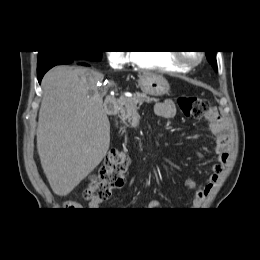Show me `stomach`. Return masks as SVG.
Masks as SVG:
<instances>
[{
  "label": "stomach",
  "mask_w": 260,
  "mask_h": 260,
  "mask_svg": "<svg viewBox=\"0 0 260 260\" xmlns=\"http://www.w3.org/2000/svg\"><path fill=\"white\" fill-rule=\"evenodd\" d=\"M138 86L143 93L151 96H163L170 91L168 81L161 75L143 73L138 80Z\"/></svg>",
  "instance_id": "1"
}]
</instances>
